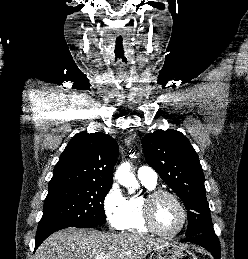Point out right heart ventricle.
Listing matches in <instances>:
<instances>
[{"instance_id":"e07e8e85","label":"right heart ventricle","mask_w":248,"mask_h":259,"mask_svg":"<svg viewBox=\"0 0 248 259\" xmlns=\"http://www.w3.org/2000/svg\"><path fill=\"white\" fill-rule=\"evenodd\" d=\"M141 182L147 192L156 187V184ZM143 197L144 196L137 195L127 199V209L122 230L132 233H147L151 231L143 217Z\"/></svg>"}]
</instances>
